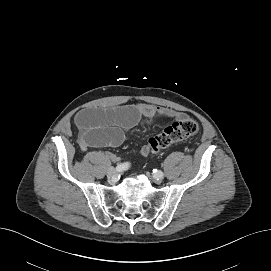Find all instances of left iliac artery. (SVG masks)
I'll return each mask as SVG.
<instances>
[{"instance_id":"obj_1","label":"left iliac artery","mask_w":271,"mask_h":271,"mask_svg":"<svg viewBox=\"0 0 271 271\" xmlns=\"http://www.w3.org/2000/svg\"><path fill=\"white\" fill-rule=\"evenodd\" d=\"M153 173H154L155 176H159V177L163 176V172L160 171V170H157V169H154Z\"/></svg>"}]
</instances>
